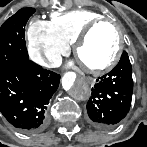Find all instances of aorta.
Here are the masks:
<instances>
[{
  "label": "aorta",
  "instance_id": "aorta-1",
  "mask_svg": "<svg viewBox=\"0 0 147 147\" xmlns=\"http://www.w3.org/2000/svg\"><path fill=\"white\" fill-rule=\"evenodd\" d=\"M72 95L77 100H87L90 97V86L87 82H81L71 89Z\"/></svg>",
  "mask_w": 147,
  "mask_h": 147
}]
</instances>
